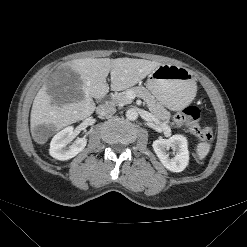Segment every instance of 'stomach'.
<instances>
[{"instance_id":"0dacf381","label":"stomach","mask_w":247,"mask_h":247,"mask_svg":"<svg viewBox=\"0 0 247 247\" xmlns=\"http://www.w3.org/2000/svg\"><path fill=\"white\" fill-rule=\"evenodd\" d=\"M146 86L153 96L172 111L185 108L196 94L192 73L180 66L161 64L148 76Z\"/></svg>"}]
</instances>
